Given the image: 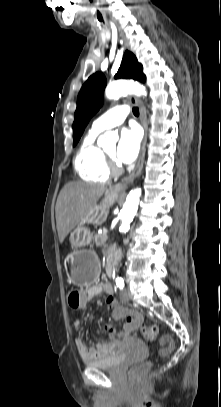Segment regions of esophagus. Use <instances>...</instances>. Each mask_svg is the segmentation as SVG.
<instances>
[{
    "instance_id": "obj_1",
    "label": "esophagus",
    "mask_w": 221,
    "mask_h": 407,
    "mask_svg": "<svg viewBox=\"0 0 221 407\" xmlns=\"http://www.w3.org/2000/svg\"><path fill=\"white\" fill-rule=\"evenodd\" d=\"M129 99H130V102L132 104L139 107L140 121H141V124H142L143 129H144V137H143V141H142V145H141V151H140L139 159H138V162H137V165H136L135 169L133 170V172L126 179H124L122 182H119V183L115 184L111 188V192L114 193V194H123L126 191L128 185L130 183H132L137 176H139V174L141 173V170L143 168V163H144V158H145L147 133H148V125H147V117H146L145 107H144L142 101L139 98H137L135 96H130Z\"/></svg>"
}]
</instances>
